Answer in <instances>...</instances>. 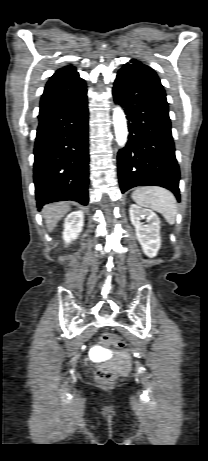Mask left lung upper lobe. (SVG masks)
I'll use <instances>...</instances> for the list:
<instances>
[{
  "label": "left lung upper lobe",
  "mask_w": 208,
  "mask_h": 461,
  "mask_svg": "<svg viewBox=\"0 0 208 461\" xmlns=\"http://www.w3.org/2000/svg\"><path fill=\"white\" fill-rule=\"evenodd\" d=\"M120 71H125L132 73L136 76H139L145 80H148L152 83H156L161 85L160 79L156 72L150 68L149 66L143 64L140 61H137L135 59H131L130 63L125 64ZM162 86V85H161Z\"/></svg>",
  "instance_id": "obj_1"
}]
</instances>
